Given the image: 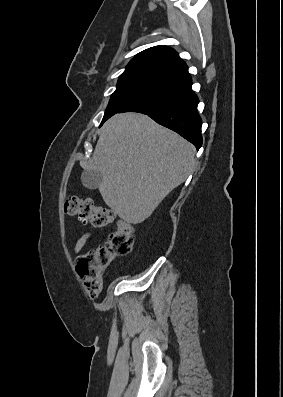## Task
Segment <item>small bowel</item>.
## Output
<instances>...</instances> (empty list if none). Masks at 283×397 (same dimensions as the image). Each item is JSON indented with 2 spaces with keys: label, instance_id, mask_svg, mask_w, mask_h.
I'll list each match as a JSON object with an SVG mask.
<instances>
[{
  "label": "small bowel",
  "instance_id": "1",
  "mask_svg": "<svg viewBox=\"0 0 283 397\" xmlns=\"http://www.w3.org/2000/svg\"><path fill=\"white\" fill-rule=\"evenodd\" d=\"M92 233L90 232H86L84 234H82L76 241L75 246H74V252L75 254H79L81 252V250L83 249V247L85 246V244L88 242L89 239L92 238Z\"/></svg>",
  "mask_w": 283,
  "mask_h": 397
}]
</instances>
